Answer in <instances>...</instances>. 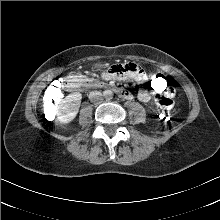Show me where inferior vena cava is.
<instances>
[{"mask_svg": "<svg viewBox=\"0 0 220 220\" xmlns=\"http://www.w3.org/2000/svg\"><path fill=\"white\" fill-rule=\"evenodd\" d=\"M89 98L92 102H97L101 99V93L99 91H93L90 93Z\"/></svg>", "mask_w": 220, "mask_h": 220, "instance_id": "inferior-vena-cava-1", "label": "inferior vena cava"}]
</instances>
